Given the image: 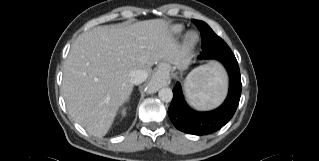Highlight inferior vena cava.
<instances>
[{
    "label": "inferior vena cava",
    "mask_w": 319,
    "mask_h": 161,
    "mask_svg": "<svg viewBox=\"0 0 319 161\" xmlns=\"http://www.w3.org/2000/svg\"><path fill=\"white\" fill-rule=\"evenodd\" d=\"M147 72L144 70H133L129 73L130 82L134 85L141 84L147 79Z\"/></svg>",
    "instance_id": "inferior-vena-cava-1"
}]
</instances>
